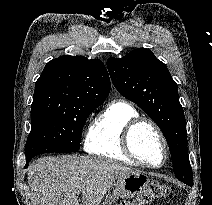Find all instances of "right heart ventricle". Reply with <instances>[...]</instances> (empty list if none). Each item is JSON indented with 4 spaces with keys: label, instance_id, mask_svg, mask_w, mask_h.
<instances>
[{
    "label": "right heart ventricle",
    "instance_id": "e07e8e85",
    "mask_svg": "<svg viewBox=\"0 0 212 205\" xmlns=\"http://www.w3.org/2000/svg\"><path fill=\"white\" fill-rule=\"evenodd\" d=\"M138 111L129 103L111 102L91 124L85 139V150L112 160L136 164L124 151L122 137L126 126L138 118Z\"/></svg>",
    "mask_w": 212,
    "mask_h": 205
}]
</instances>
